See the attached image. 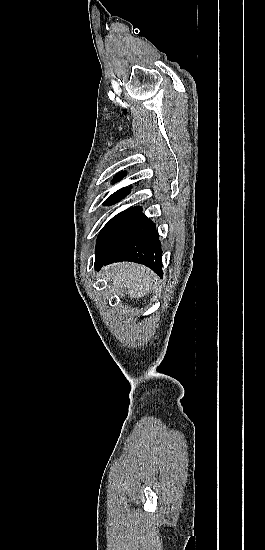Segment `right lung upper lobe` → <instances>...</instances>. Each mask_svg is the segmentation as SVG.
Segmentation results:
<instances>
[{
	"instance_id": "cb5924a9",
	"label": "right lung upper lobe",
	"mask_w": 265,
	"mask_h": 550,
	"mask_svg": "<svg viewBox=\"0 0 265 550\" xmlns=\"http://www.w3.org/2000/svg\"><path fill=\"white\" fill-rule=\"evenodd\" d=\"M125 175H126L125 171H122V172L118 173L116 175V177L113 179V183L120 181ZM121 190H128V188H126V189L123 188ZM121 190H118V191H121Z\"/></svg>"
}]
</instances>
